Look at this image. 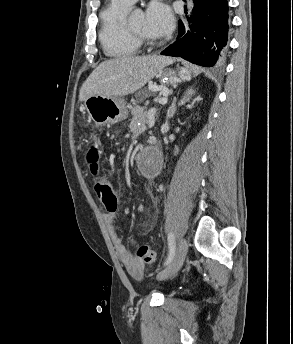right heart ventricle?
<instances>
[{
    "label": "right heart ventricle",
    "instance_id": "1",
    "mask_svg": "<svg viewBox=\"0 0 293 344\" xmlns=\"http://www.w3.org/2000/svg\"><path fill=\"white\" fill-rule=\"evenodd\" d=\"M130 6L110 0L100 13L99 40L109 57H133L140 52V45L125 30L124 17Z\"/></svg>",
    "mask_w": 293,
    "mask_h": 344
}]
</instances>
